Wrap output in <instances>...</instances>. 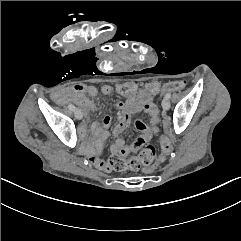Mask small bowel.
Wrapping results in <instances>:
<instances>
[{
	"label": "small bowel",
	"instance_id": "c3829d8e",
	"mask_svg": "<svg viewBox=\"0 0 241 241\" xmlns=\"http://www.w3.org/2000/svg\"><path fill=\"white\" fill-rule=\"evenodd\" d=\"M113 91V87L109 84H104L100 88V92L107 97L111 96ZM98 92L99 90L93 85L77 84L72 88L60 90L56 93V97L63 103L74 101L79 104L86 113H88L93 109V104L84 99L82 95L88 94L91 97H95ZM154 96L156 95H152L149 92L145 95L136 94L131 100H126V102L119 101L116 103V108L119 110L125 109V112L121 116L119 122L112 129V134L117 137L116 141L110 147L112 155H118L120 157L127 156L140 149L158 134L160 118L158 107L153 102ZM141 110L149 115V122H145L143 119H137L134 122V126L136 130L139 131V135L128 144L120 138V135L130 125L131 113ZM110 125L111 118L105 116L102 120V126L97 123H94L91 126V131L96 138L94 139L93 149L88 157L95 167L102 170H109L110 167L108 162L99 159L96 154L100 151L101 145L108 137V129Z\"/></svg>",
	"mask_w": 241,
	"mask_h": 241
}]
</instances>
